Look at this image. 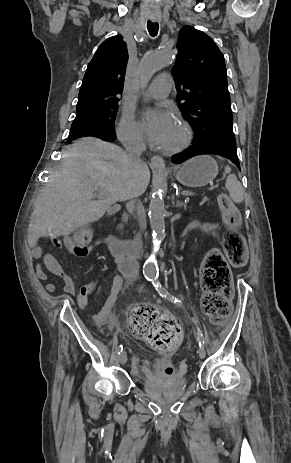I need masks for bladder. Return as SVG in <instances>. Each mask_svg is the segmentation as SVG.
Returning a JSON list of instances; mask_svg holds the SVG:
<instances>
[{"label": "bladder", "instance_id": "31cf9c89", "mask_svg": "<svg viewBox=\"0 0 291 463\" xmlns=\"http://www.w3.org/2000/svg\"><path fill=\"white\" fill-rule=\"evenodd\" d=\"M182 384H183V382L179 383V385H182Z\"/></svg>", "mask_w": 291, "mask_h": 463}]
</instances>
